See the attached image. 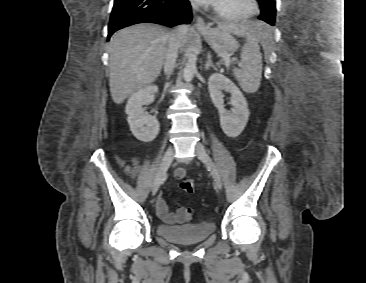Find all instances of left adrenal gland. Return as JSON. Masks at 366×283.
Returning a JSON list of instances; mask_svg holds the SVG:
<instances>
[{"label":"left adrenal gland","instance_id":"left-adrenal-gland-1","mask_svg":"<svg viewBox=\"0 0 366 283\" xmlns=\"http://www.w3.org/2000/svg\"><path fill=\"white\" fill-rule=\"evenodd\" d=\"M207 58L208 59H207L206 65H205V71L209 70L210 68H213L214 70H217L216 67L212 63L211 56L208 55Z\"/></svg>","mask_w":366,"mask_h":283}]
</instances>
